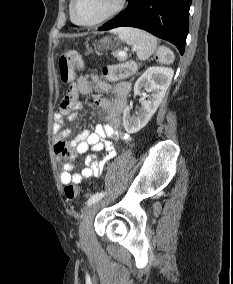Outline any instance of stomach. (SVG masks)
I'll return each mask as SVG.
<instances>
[{
    "label": "stomach",
    "instance_id": "stomach-1",
    "mask_svg": "<svg viewBox=\"0 0 233 284\" xmlns=\"http://www.w3.org/2000/svg\"><path fill=\"white\" fill-rule=\"evenodd\" d=\"M110 42H111V39L109 37H104L100 41L102 47H104V48H107L109 46Z\"/></svg>",
    "mask_w": 233,
    "mask_h": 284
}]
</instances>
